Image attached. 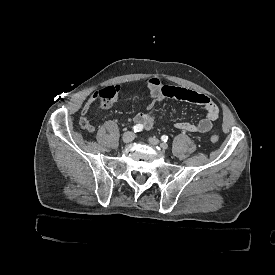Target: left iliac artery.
I'll return each instance as SVG.
<instances>
[{
	"instance_id": "44dca946",
	"label": "left iliac artery",
	"mask_w": 275,
	"mask_h": 275,
	"mask_svg": "<svg viewBox=\"0 0 275 275\" xmlns=\"http://www.w3.org/2000/svg\"><path fill=\"white\" fill-rule=\"evenodd\" d=\"M161 140H162L163 142H167L168 136L162 135V136H161Z\"/></svg>"
}]
</instances>
